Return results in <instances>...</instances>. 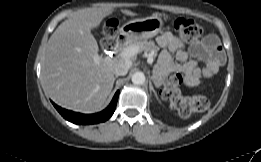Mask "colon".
Instances as JSON below:
<instances>
[{"mask_svg": "<svg viewBox=\"0 0 261 162\" xmlns=\"http://www.w3.org/2000/svg\"><path fill=\"white\" fill-rule=\"evenodd\" d=\"M174 28L180 37L186 41L197 40L202 37L204 32L201 25L187 17L177 18L174 22ZM115 31L114 25L105 28L102 39V47L104 49H110L113 46ZM183 82L184 78L180 74L167 75L161 92L162 98L170 101L183 116L189 115L192 111H205L209 106L208 99L201 95L194 97L183 96L181 92Z\"/></svg>", "mask_w": 261, "mask_h": 162, "instance_id": "colon-1", "label": "colon"}]
</instances>
